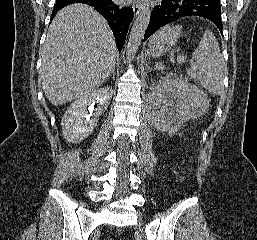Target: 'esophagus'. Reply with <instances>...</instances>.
<instances>
[{"instance_id": "esophagus-1", "label": "esophagus", "mask_w": 257, "mask_h": 240, "mask_svg": "<svg viewBox=\"0 0 257 240\" xmlns=\"http://www.w3.org/2000/svg\"><path fill=\"white\" fill-rule=\"evenodd\" d=\"M141 9H142L141 4H138V3L133 4V11H134L135 15H138L140 13Z\"/></svg>"}]
</instances>
